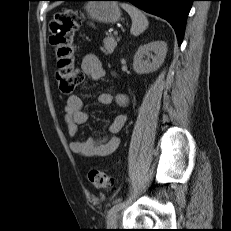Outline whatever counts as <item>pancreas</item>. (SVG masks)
Masks as SVG:
<instances>
[{"mask_svg":"<svg viewBox=\"0 0 231 231\" xmlns=\"http://www.w3.org/2000/svg\"><path fill=\"white\" fill-rule=\"evenodd\" d=\"M119 39H115L112 35L106 37L104 40H103V48H102V51L108 55V54H112L115 47L117 46V41Z\"/></svg>","mask_w":231,"mask_h":231,"instance_id":"obj_1","label":"pancreas"}]
</instances>
